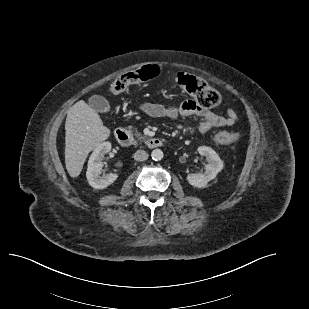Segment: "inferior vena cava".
<instances>
[{"label": "inferior vena cava", "mask_w": 309, "mask_h": 309, "mask_svg": "<svg viewBox=\"0 0 309 309\" xmlns=\"http://www.w3.org/2000/svg\"><path fill=\"white\" fill-rule=\"evenodd\" d=\"M134 159L136 161H145L148 159L149 155L146 151L144 150H137L135 153H134Z\"/></svg>", "instance_id": "inferior-vena-cava-1"}]
</instances>
